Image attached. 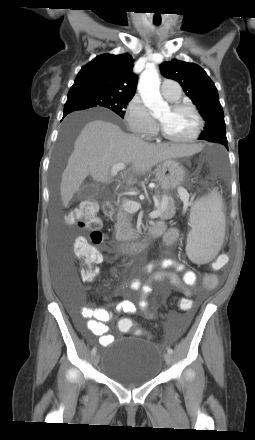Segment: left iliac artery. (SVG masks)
<instances>
[{
  "mask_svg": "<svg viewBox=\"0 0 255 440\" xmlns=\"http://www.w3.org/2000/svg\"><path fill=\"white\" fill-rule=\"evenodd\" d=\"M167 352L170 353V354H172V353H173V350H172L171 348H168V349H167Z\"/></svg>",
  "mask_w": 255,
  "mask_h": 440,
  "instance_id": "44dca946",
  "label": "left iliac artery"
}]
</instances>
